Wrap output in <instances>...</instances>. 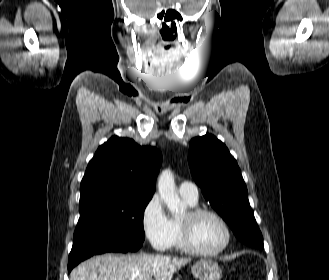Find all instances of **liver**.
Returning a JSON list of instances; mask_svg holds the SVG:
<instances>
[{"mask_svg": "<svg viewBox=\"0 0 329 280\" xmlns=\"http://www.w3.org/2000/svg\"><path fill=\"white\" fill-rule=\"evenodd\" d=\"M190 261L165 255L104 254L73 269L70 280H171Z\"/></svg>", "mask_w": 329, "mask_h": 280, "instance_id": "liver-1", "label": "liver"}]
</instances>
